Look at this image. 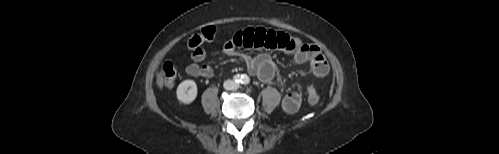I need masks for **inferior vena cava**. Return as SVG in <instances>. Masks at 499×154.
I'll return each mask as SVG.
<instances>
[{
    "mask_svg": "<svg viewBox=\"0 0 499 154\" xmlns=\"http://www.w3.org/2000/svg\"><path fill=\"white\" fill-rule=\"evenodd\" d=\"M224 88L227 90H235L238 88V85L236 82L232 80H226L223 84Z\"/></svg>",
    "mask_w": 499,
    "mask_h": 154,
    "instance_id": "inferior-vena-cava-1",
    "label": "inferior vena cava"
}]
</instances>
